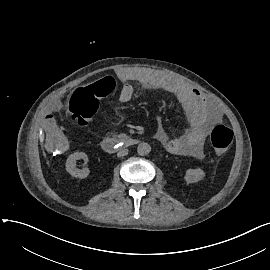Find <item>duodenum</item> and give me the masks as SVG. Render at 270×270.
<instances>
[{
	"label": "duodenum",
	"instance_id": "410a0bca",
	"mask_svg": "<svg viewBox=\"0 0 270 270\" xmlns=\"http://www.w3.org/2000/svg\"><path fill=\"white\" fill-rule=\"evenodd\" d=\"M138 143L139 140L131 136H113L107 137L102 141V148L108 153H113L119 149L130 147Z\"/></svg>",
	"mask_w": 270,
	"mask_h": 270
}]
</instances>
